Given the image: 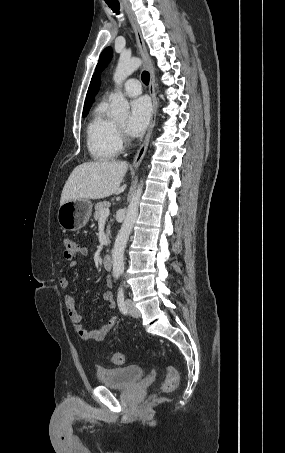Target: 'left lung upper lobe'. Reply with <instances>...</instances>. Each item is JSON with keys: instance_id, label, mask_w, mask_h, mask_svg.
<instances>
[{"instance_id": "1", "label": "left lung upper lobe", "mask_w": 285, "mask_h": 453, "mask_svg": "<svg viewBox=\"0 0 285 453\" xmlns=\"http://www.w3.org/2000/svg\"><path fill=\"white\" fill-rule=\"evenodd\" d=\"M112 58V49L111 47H107L104 49L99 57V62L97 64L96 70L102 69L105 67Z\"/></svg>"}]
</instances>
